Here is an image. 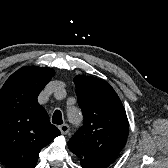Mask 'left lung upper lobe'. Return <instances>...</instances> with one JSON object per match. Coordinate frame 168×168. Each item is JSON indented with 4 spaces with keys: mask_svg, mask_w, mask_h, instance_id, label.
<instances>
[{
    "mask_svg": "<svg viewBox=\"0 0 168 168\" xmlns=\"http://www.w3.org/2000/svg\"><path fill=\"white\" fill-rule=\"evenodd\" d=\"M74 83L84 121L68 147L80 159L106 168L116 160L127 141L129 123L125 109L108 83L83 75L76 76Z\"/></svg>",
    "mask_w": 168,
    "mask_h": 168,
    "instance_id": "obj_1",
    "label": "left lung upper lobe"
}]
</instances>
